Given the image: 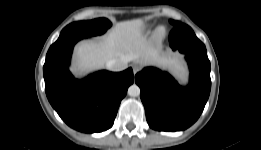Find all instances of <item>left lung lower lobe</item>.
<instances>
[{"instance_id": "0a47b994", "label": "left lung lower lobe", "mask_w": 261, "mask_h": 150, "mask_svg": "<svg viewBox=\"0 0 261 150\" xmlns=\"http://www.w3.org/2000/svg\"><path fill=\"white\" fill-rule=\"evenodd\" d=\"M169 42L173 50L186 55L189 85L182 87L167 72L153 67L137 73L135 82L149 126L159 131H180L191 126L205 107L211 89L210 61L205 45L188 25L174 26Z\"/></svg>"}]
</instances>
